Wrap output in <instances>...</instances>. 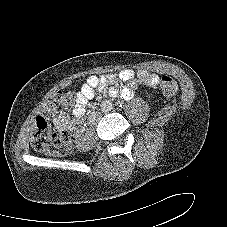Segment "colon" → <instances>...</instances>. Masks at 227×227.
<instances>
[{"label": "colon", "mask_w": 227, "mask_h": 227, "mask_svg": "<svg viewBox=\"0 0 227 227\" xmlns=\"http://www.w3.org/2000/svg\"><path fill=\"white\" fill-rule=\"evenodd\" d=\"M159 85L162 93L166 96H172L178 91L175 79L167 75L159 78ZM72 102V93L59 91L43 104L42 112L35 120V129L31 141L34 150L51 156H65L72 151L69 136L65 133L55 132L48 122L59 108H67Z\"/></svg>", "instance_id": "1"}]
</instances>
